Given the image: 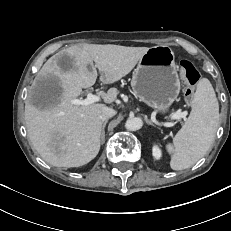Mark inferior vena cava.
<instances>
[{
  "instance_id": "inferior-vena-cava-1",
  "label": "inferior vena cava",
  "mask_w": 231,
  "mask_h": 231,
  "mask_svg": "<svg viewBox=\"0 0 231 231\" xmlns=\"http://www.w3.org/2000/svg\"><path fill=\"white\" fill-rule=\"evenodd\" d=\"M116 114V111L109 107H104L101 113L102 121L108 120Z\"/></svg>"
}]
</instances>
